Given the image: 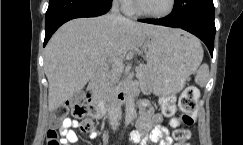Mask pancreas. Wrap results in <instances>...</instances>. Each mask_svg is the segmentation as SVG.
I'll list each match as a JSON object with an SVG mask.
<instances>
[{
	"instance_id": "1",
	"label": "pancreas",
	"mask_w": 243,
	"mask_h": 145,
	"mask_svg": "<svg viewBox=\"0 0 243 145\" xmlns=\"http://www.w3.org/2000/svg\"><path fill=\"white\" fill-rule=\"evenodd\" d=\"M139 80L146 87L150 83V72L146 67L136 69ZM122 68L116 64H112L111 69H106L100 76L97 89L101 92H107L111 85L119 82Z\"/></svg>"
}]
</instances>
